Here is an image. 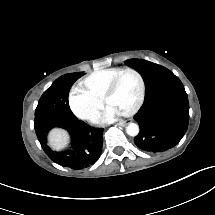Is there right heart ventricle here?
<instances>
[{"label": "right heart ventricle", "instance_id": "1", "mask_svg": "<svg viewBox=\"0 0 215 215\" xmlns=\"http://www.w3.org/2000/svg\"><path fill=\"white\" fill-rule=\"evenodd\" d=\"M120 68H110L105 71L100 70L96 72V74L92 75L90 79H88L85 88L87 92L99 95L104 92V90L108 89L112 77L110 73L118 71Z\"/></svg>", "mask_w": 215, "mask_h": 215}]
</instances>
